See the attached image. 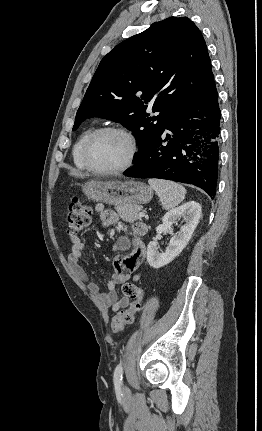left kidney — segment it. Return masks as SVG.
Here are the masks:
<instances>
[{"label": "left kidney", "instance_id": "5707ae66", "mask_svg": "<svg viewBox=\"0 0 262 431\" xmlns=\"http://www.w3.org/2000/svg\"><path fill=\"white\" fill-rule=\"evenodd\" d=\"M201 205L191 201L178 208L170 210L162 218V224L156 228V232H172V225L184 218L185 224L180 231L172 235L169 245L165 252H159V246L156 241H151L147 247V262L155 269L163 267L177 257L190 241L192 234L199 223L201 217Z\"/></svg>", "mask_w": 262, "mask_h": 431}]
</instances>
